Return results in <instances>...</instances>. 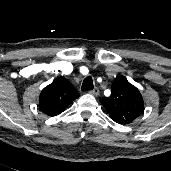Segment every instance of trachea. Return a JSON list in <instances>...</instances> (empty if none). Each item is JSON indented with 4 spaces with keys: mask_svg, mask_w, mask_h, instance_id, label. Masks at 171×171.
Returning a JSON list of instances; mask_svg holds the SVG:
<instances>
[{
    "mask_svg": "<svg viewBox=\"0 0 171 171\" xmlns=\"http://www.w3.org/2000/svg\"><path fill=\"white\" fill-rule=\"evenodd\" d=\"M93 88H94L93 79L91 76H87L83 81L81 90L87 91V90H92Z\"/></svg>",
    "mask_w": 171,
    "mask_h": 171,
    "instance_id": "trachea-1",
    "label": "trachea"
}]
</instances>
